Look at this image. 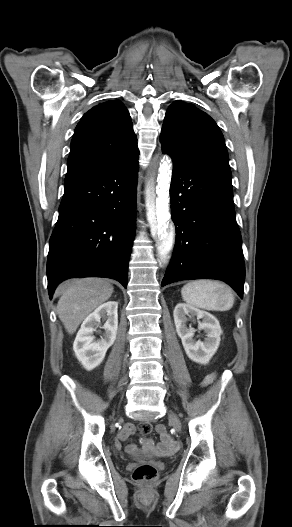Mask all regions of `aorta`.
<instances>
[{
	"instance_id": "aorta-1",
	"label": "aorta",
	"mask_w": 292,
	"mask_h": 527,
	"mask_svg": "<svg viewBox=\"0 0 292 527\" xmlns=\"http://www.w3.org/2000/svg\"><path fill=\"white\" fill-rule=\"evenodd\" d=\"M170 180L171 164L168 159L160 163L158 170L155 163L150 165L146 177V199L148 203L156 200L157 223L155 225V232L158 238V251L162 261H165L173 245L172 235L169 230L170 214L168 211Z\"/></svg>"
}]
</instances>
